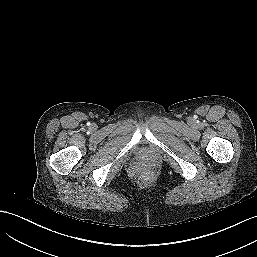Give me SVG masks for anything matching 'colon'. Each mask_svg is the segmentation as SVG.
Masks as SVG:
<instances>
[{"mask_svg": "<svg viewBox=\"0 0 257 257\" xmlns=\"http://www.w3.org/2000/svg\"><path fill=\"white\" fill-rule=\"evenodd\" d=\"M154 175L151 171L149 170H144L139 173V180L142 183H148L153 179Z\"/></svg>", "mask_w": 257, "mask_h": 257, "instance_id": "obj_1", "label": "colon"}]
</instances>
